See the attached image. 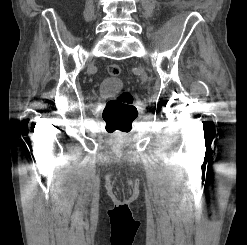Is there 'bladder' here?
<instances>
[{
	"label": "bladder",
	"instance_id": "31cf9c89",
	"mask_svg": "<svg viewBox=\"0 0 247 245\" xmlns=\"http://www.w3.org/2000/svg\"><path fill=\"white\" fill-rule=\"evenodd\" d=\"M122 81L115 76L105 77L99 84V93L107 95L114 93L122 88Z\"/></svg>",
	"mask_w": 247,
	"mask_h": 245
}]
</instances>
